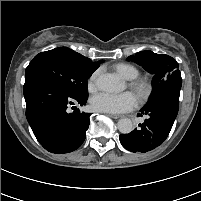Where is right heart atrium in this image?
<instances>
[{
	"instance_id": "d8ad5b80",
	"label": "right heart atrium",
	"mask_w": 201,
	"mask_h": 201,
	"mask_svg": "<svg viewBox=\"0 0 201 201\" xmlns=\"http://www.w3.org/2000/svg\"><path fill=\"white\" fill-rule=\"evenodd\" d=\"M98 73L95 72L92 74V76L90 77L89 81H88V89L89 91H94L96 88V78H97Z\"/></svg>"
}]
</instances>
